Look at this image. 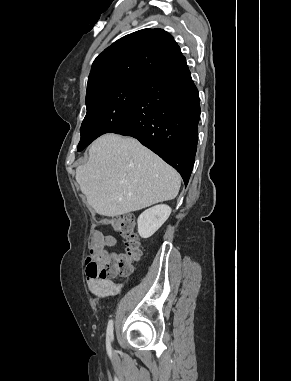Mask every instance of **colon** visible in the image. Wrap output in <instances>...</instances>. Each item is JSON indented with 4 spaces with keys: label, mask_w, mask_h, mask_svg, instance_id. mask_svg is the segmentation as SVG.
I'll list each match as a JSON object with an SVG mask.
<instances>
[{
    "label": "colon",
    "mask_w": 291,
    "mask_h": 381,
    "mask_svg": "<svg viewBox=\"0 0 291 381\" xmlns=\"http://www.w3.org/2000/svg\"><path fill=\"white\" fill-rule=\"evenodd\" d=\"M103 223L124 239L125 250L111 252L106 248H91L86 260L87 275L102 279L128 276L143 257L141 243L135 234L134 219L132 216H113L105 219Z\"/></svg>",
    "instance_id": "5ec220e1"
}]
</instances>
